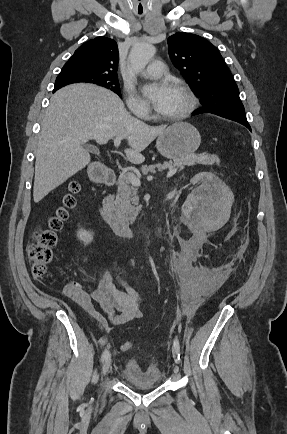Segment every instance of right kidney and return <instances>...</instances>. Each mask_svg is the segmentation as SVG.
<instances>
[{"instance_id": "right-kidney-1", "label": "right kidney", "mask_w": 287, "mask_h": 434, "mask_svg": "<svg viewBox=\"0 0 287 434\" xmlns=\"http://www.w3.org/2000/svg\"><path fill=\"white\" fill-rule=\"evenodd\" d=\"M77 237L80 241H82L85 245H87L92 242L93 233L80 229L77 233Z\"/></svg>"}]
</instances>
